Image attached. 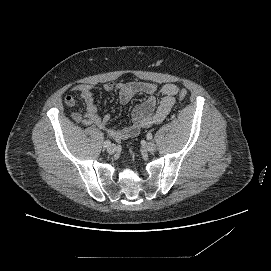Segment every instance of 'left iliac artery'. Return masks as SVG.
<instances>
[{
  "label": "left iliac artery",
  "instance_id": "1",
  "mask_svg": "<svg viewBox=\"0 0 271 271\" xmlns=\"http://www.w3.org/2000/svg\"><path fill=\"white\" fill-rule=\"evenodd\" d=\"M146 137H147L148 140H151L153 136H152L151 133H147Z\"/></svg>",
  "mask_w": 271,
  "mask_h": 271
}]
</instances>
